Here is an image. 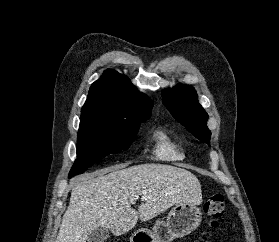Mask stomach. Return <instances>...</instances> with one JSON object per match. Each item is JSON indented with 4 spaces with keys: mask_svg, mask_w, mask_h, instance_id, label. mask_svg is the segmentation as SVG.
Returning a JSON list of instances; mask_svg holds the SVG:
<instances>
[{
    "mask_svg": "<svg viewBox=\"0 0 279 242\" xmlns=\"http://www.w3.org/2000/svg\"><path fill=\"white\" fill-rule=\"evenodd\" d=\"M201 220L202 213L196 204L180 202L170 210L165 221H157L152 230H137L130 242H172L197 229Z\"/></svg>",
    "mask_w": 279,
    "mask_h": 242,
    "instance_id": "obj_1",
    "label": "stomach"
}]
</instances>
